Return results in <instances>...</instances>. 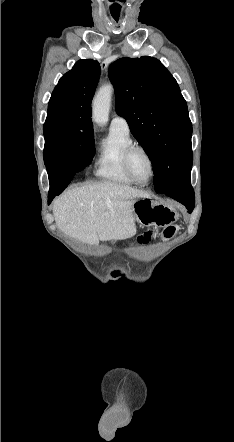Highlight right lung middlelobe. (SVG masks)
Instances as JSON below:
<instances>
[{
    "label": "right lung middle lobe",
    "mask_w": 234,
    "mask_h": 442,
    "mask_svg": "<svg viewBox=\"0 0 234 442\" xmlns=\"http://www.w3.org/2000/svg\"><path fill=\"white\" fill-rule=\"evenodd\" d=\"M44 163L46 167L65 159L81 171L95 154L93 129L68 118H56L44 124Z\"/></svg>",
    "instance_id": "obj_1"
}]
</instances>
